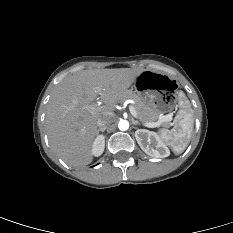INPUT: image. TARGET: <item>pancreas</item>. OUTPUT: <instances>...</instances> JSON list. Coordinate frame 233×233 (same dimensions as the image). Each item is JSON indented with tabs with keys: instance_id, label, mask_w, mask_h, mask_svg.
I'll list each match as a JSON object with an SVG mask.
<instances>
[{
	"instance_id": "cf45deb5",
	"label": "pancreas",
	"mask_w": 233,
	"mask_h": 233,
	"mask_svg": "<svg viewBox=\"0 0 233 233\" xmlns=\"http://www.w3.org/2000/svg\"><path fill=\"white\" fill-rule=\"evenodd\" d=\"M132 99L135 101V108L137 112V118L143 124L148 122H154L160 116V113L155 111L149 104L145 103L136 93L129 91L123 100Z\"/></svg>"
}]
</instances>
